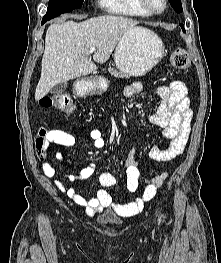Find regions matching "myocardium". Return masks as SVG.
<instances>
[{
	"instance_id": "myocardium-1",
	"label": "myocardium",
	"mask_w": 221,
	"mask_h": 263,
	"mask_svg": "<svg viewBox=\"0 0 221 263\" xmlns=\"http://www.w3.org/2000/svg\"><path fill=\"white\" fill-rule=\"evenodd\" d=\"M142 7L150 14V15H158L163 13L167 8V0H162V7L160 9H156L152 6L150 0H139Z\"/></svg>"
}]
</instances>
